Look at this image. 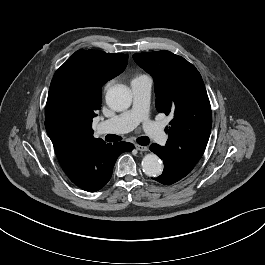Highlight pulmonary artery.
<instances>
[{"label": "pulmonary artery", "mask_w": 265, "mask_h": 265, "mask_svg": "<svg viewBox=\"0 0 265 265\" xmlns=\"http://www.w3.org/2000/svg\"><path fill=\"white\" fill-rule=\"evenodd\" d=\"M132 91V106L119 115L102 121L99 124L101 133L110 130L114 133H126L141 124L144 132L156 143L164 145L167 135L160 125L149 118L148 106L151 95L152 81L144 75L133 79L130 83Z\"/></svg>", "instance_id": "e3ab8cb5"}]
</instances>
